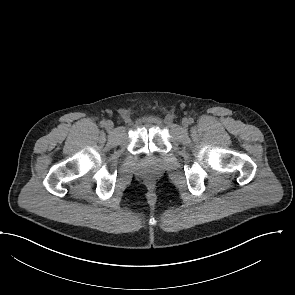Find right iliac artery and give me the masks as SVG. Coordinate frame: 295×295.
<instances>
[{
    "mask_svg": "<svg viewBox=\"0 0 295 295\" xmlns=\"http://www.w3.org/2000/svg\"><path fill=\"white\" fill-rule=\"evenodd\" d=\"M100 124H101V126H102V127H104V126H105V121H104V120H103V121H101V123H100Z\"/></svg>",
    "mask_w": 295,
    "mask_h": 295,
    "instance_id": "1",
    "label": "right iliac artery"
}]
</instances>
